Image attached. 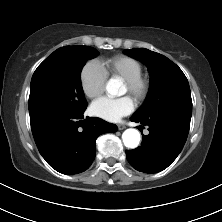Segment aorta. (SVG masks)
<instances>
[{"mask_svg": "<svg viewBox=\"0 0 222 222\" xmlns=\"http://www.w3.org/2000/svg\"><path fill=\"white\" fill-rule=\"evenodd\" d=\"M119 88L120 85L114 80H109L106 85L107 92L112 96L119 94ZM122 140L127 148L135 149L140 143V133L136 129L129 128L123 132Z\"/></svg>", "mask_w": 222, "mask_h": 222, "instance_id": "aorta-1", "label": "aorta"}]
</instances>
